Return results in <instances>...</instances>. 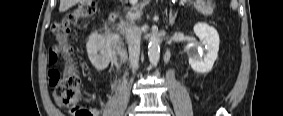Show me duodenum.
Here are the masks:
<instances>
[{
  "mask_svg": "<svg viewBox=\"0 0 283 116\" xmlns=\"http://www.w3.org/2000/svg\"><path fill=\"white\" fill-rule=\"evenodd\" d=\"M118 16V12L116 10L112 11L108 16V25L111 28L113 23L116 21ZM119 62H122V59L119 60Z\"/></svg>",
  "mask_w": 283,
  "mask_h": 116,
  "instance_id": "duodenum-1",
  "label": "duodenum"
}]
</instances>
